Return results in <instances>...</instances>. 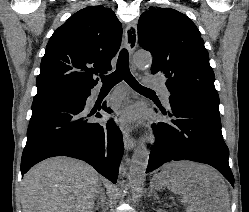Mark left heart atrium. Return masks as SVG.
<instances>
[{"mask_svg": "<svg viewBox=\"0 0 249 212\" xmlns=\"http://www.w3.org/2000/svg\"><path fill=\"white\" fill-rule=\"evenodd\" d=\"M138 119V112L134 107L128 108L120 113L118 121L121 124L130 125Z\"/></svg>", "mask_w": 249, "mask_h": 212, "instance_id": "left-heart-atrium-1", "label": "left heart atrium"}]
</instances>
